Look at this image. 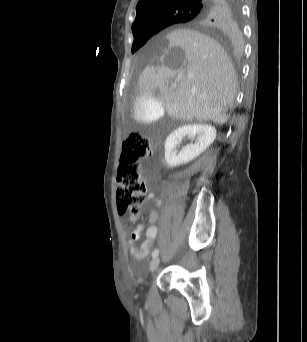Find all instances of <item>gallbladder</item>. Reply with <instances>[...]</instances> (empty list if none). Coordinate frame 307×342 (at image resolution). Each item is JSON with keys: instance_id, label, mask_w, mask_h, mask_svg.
<instances>
[{"instance_id": "1", "label": "gallbladder", "mask_w": 307, "mask_h": 342, "mask_svg": "<svg viewBox=\"0 0 307 342\" xmlns=\"http://www.w3.org/2000/svg\"><path fill=\"white\" fill-rule=\"evenodd\" d=\"M133 117L137 123H156L161 118L163 108L160 99H153L152 95H136Z\"/></svg>"}]
</instances>
